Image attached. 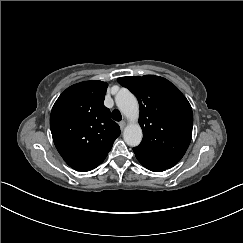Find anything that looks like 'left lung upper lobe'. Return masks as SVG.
Instances as JSON below:
<instances>
[{
	"instance_id": "obj_1",
	"label": "left lung upper lobe",
	"mask_w": 243,
	"mask_h": 243,
	"mask_svg": "<svg viewBox=\"0 0 243 243\" xmlns=\"http://www.w3.org/2000/svg\"><path fill=\"white\" fill-rule=\"evenodd\" d=\"M138 99L143 139L133 148L138 160L166 170L184 156L193 127L192 108L170 81L160 76L120 77Z\"/></svg>"
}]
</instances>
